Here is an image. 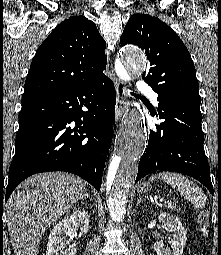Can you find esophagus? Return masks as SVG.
I'll return each instance as SVG.
<instances>
[{
  "instance_id": "1",
  "label": "esophagus",
  "mask_w": 221,
  "mask_h": 255,
  "mask_svg": "<svg viewBox=\"0 0 221 255\" xmlns=\"http://www.w3.org/2000/svg\"><path fill=\"white\" fill-rule=\"evenodd\" d=\"M114 78V85H115V90H116V105H115V111H116V120H120L125 112L126 108V89L124 83L119 80L118 78L115 77L113 74Z\"/></svg>"
}]
</instances>
